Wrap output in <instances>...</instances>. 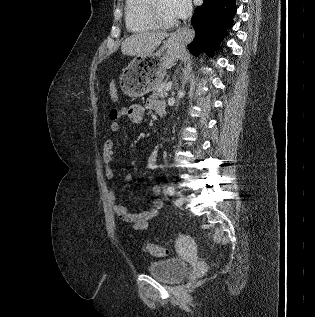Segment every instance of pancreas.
<instances>
[{
	"label": "pancreas",
	"mask_w": 315,
	"mask_h": 317,
	"mask_svg": "<svg viewBox=\"0 0 315 317\" xmlns=\"http://www.w3.org/2000/svg\"><path fill=\"white\" fill-rule=\"evenodd\" d=\"M167 96V91H165V85L161 83L159 86H157L154 89V92L151 96V98H164Z\"/></svg>",
	"instance_id": "pancreas-1"
}]
</instances>
